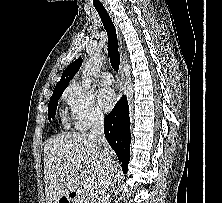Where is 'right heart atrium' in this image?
<instances>
[{"label":"right heart atrium","instance_id":"d8ad5b80","mask_svg":"<svg viewBox=\"0 0 222 203\" xmlns=\"http://www.w3.org/2000/svg\"><path fill=\"white\" fill-rule=\"evenodd\" d=\"M71 118L78 129H87L103 119L92 93L79 85H72L65 94Z\"/></svg>","mask_w":222,"mask_h":203}]
</instances>
